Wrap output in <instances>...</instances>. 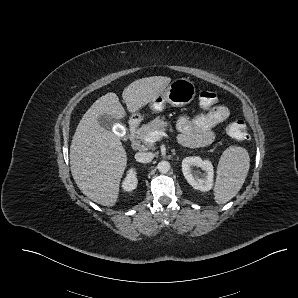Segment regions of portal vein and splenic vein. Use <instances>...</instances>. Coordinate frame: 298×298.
<instances>
[{"instance_id": "1", "label": "portal vein and splenic vein", "mask_w": 298, "mask_h": 298, "mask_svg": "<svg viewBox=\"0 0 298 298\" xmlns=\"http://www.w3.org/2000/svg\"><path fill=\"white\" fill-rule=\"evenodd\" d=\"M162 137H168V134L162 131H152L149 132L145 137H144V142L148 143H154L160 140Z\"/></svg>"}]
</instances>
